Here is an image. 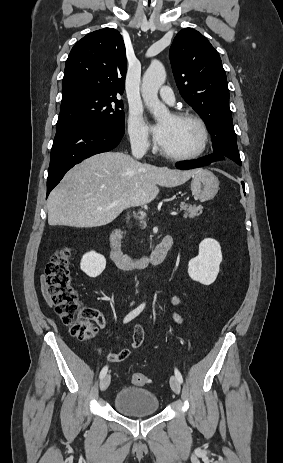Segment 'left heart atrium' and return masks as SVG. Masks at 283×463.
Masks as SVG:
<instances>
[{"instance_id": "obj_1", "label": "left heart atrium", "mask_w": 283, "mask_h": 463, "mask_svg": "<svg viewBox=\"0 0 283 463\" xmlns=\"http://www.w3.org/2000/svg\"><path fill=\"white\" fill-rule=\"evenodd\" d=\"M152 131L156 143L161 145L166 136V127L162 124H158L153 127Z\"/></svg>"}]
</instances>
